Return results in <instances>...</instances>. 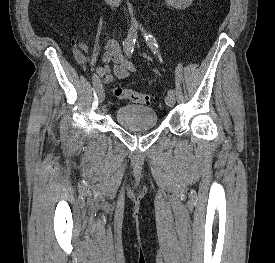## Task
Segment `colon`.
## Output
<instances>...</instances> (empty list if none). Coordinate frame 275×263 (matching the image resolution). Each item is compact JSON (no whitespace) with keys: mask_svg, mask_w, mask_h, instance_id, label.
I'll return each instance as SVG.
<instances>
[{"mask_svg":"<svg viewBox=\"0 0 275 263\" xmlns=\"http://www.w3.org/2000/svg\"><path fill=\"white\" fill-rule=\"evenodd\" d=\"M114 95L119 99L131 101L137 104L149 105L155 102L154 94L138 92L123 86H116L114 88Z\"/></svg>","mask_w":275,"mask_h":263,"instance_id":"1","label":"colon"}]
</instances>
